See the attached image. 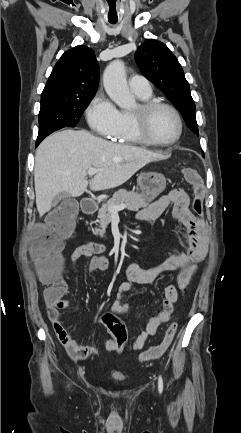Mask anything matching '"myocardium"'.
<instances>
[{"instance_id": "obj_1", "label": "myocardium", "mask_w": 241, "mask_h": 433, "mask_svg": "<svg viewBox=\"0 0 241 433\" xmlns=\"http://www.w3.org/2000/svg\"><path fill=\"white\" fill-rule=\"evenodd\" d=\"M160 108L169 110L175 117L178 124V133L176 137L169 142H159L153 139L149 133V121L152 114ZM132 122L137 135L140 137L143 143L155 147H169L175 145L183 134V121L178 110L163 101L159 100H147L143 101L137 106V109L131 113Z\"/></svg>"}]
</instances>
